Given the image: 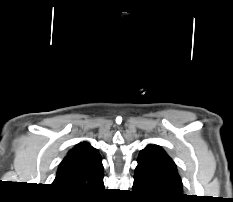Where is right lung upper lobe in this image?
Listing matches in <instances>:
<instances>
[{"label":"right lung upper lobe","mask_w":233,"mask_h":202,"mask_svg":"<svg viewBox=\"0 0 233 202\" xmlns=\"http://www.w3.org/2000/svg\"><path fill=\"white\" fill-rule=\"evenodd\" d=\"M98 150L77 144L60 163L53 186L73 195H90L103 188V165Z\"/></svg>","instance_id":"right-lung-upper-lobe-1"}]
</instances>
